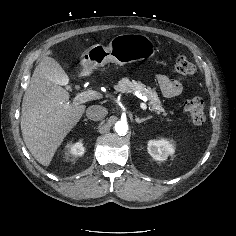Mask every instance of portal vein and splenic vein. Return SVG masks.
Listing matches in <instances>:
<instances>
[{
    "instance_id": "obj_1",
    "label": "portal vein and splenic vein",
    "mask_w": 236,
    "mask_h": 236,
    "mask_svg": "<svg viewBox=\"0 0 236 236\" xmlns=\"http://www.w3.org/2000/svg\"><path fill=\"white\" fill-rule=\"evenodd\" d=\"M97 98H99V94L96 91L88 90L77 94L76 97L74 98L73 103L82 104L91 100H95ZM142 100L145 101L146 97H143ZM140 107L145 111L147 110V106L144 102L140 103Z\"/></svg>"
}]
</instances>
